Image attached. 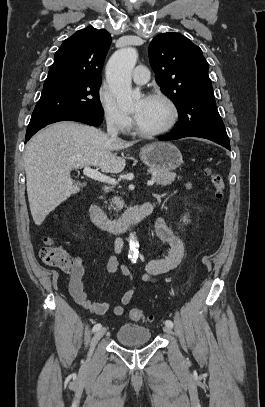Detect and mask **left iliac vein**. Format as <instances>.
<instances>
[{
  "mask_svg": "<svg viewBox=\"0 0 265 407\" xmlns=\"http://www.w3.org/2000/svg\"><path fill=\"white\" fill-rule=\"evenodd\" d=\"M163 331L165 332V333H167V334H172L173 332H172V328L170 327V326H167V325H165L164 327H163Z\"/></svg>",
  "mask_w": 265,
  "mask_h": 407,
  "instance_id": "1",
  "label": "left iliac vein"
}]
</instances>
